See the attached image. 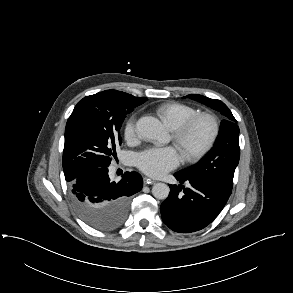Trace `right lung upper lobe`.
Returning a JSON list of instances; mask_svg holds the SVG:
<instances>
[{
	"label": "right lung upper lobe",
	"instance_id": "obj_1",
	"mask_svg": "<svg viewBox=\"0 0 293 293\" xmlns=\"http://www.w3.org/2000/svg\"><path fill=\"white\" fill-rule=\"evenodd\" d=\"M134 98H135L136 101L140 102L141 104L144 103L147 100L146 98H141V97H134Z\"/></svg>",
	"mask_w": 293,
	"mask_h": 293
}]
</instances>
